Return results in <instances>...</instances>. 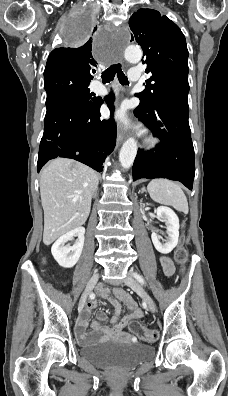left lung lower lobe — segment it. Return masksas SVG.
Wrapping results in <instances>:
<instances>
[{
	"label": "left lung lower lobe",
	"instance_id": "1",
	"mask_svg": "<svg viewBox=\"0 0 228 396\" xmlns=\"http://www.w3.org/2000/svg\"><path fill=\"white\" fill-rule=\"evenodd\" d=\"M134 114L161 140L151 151L138 150L132 170L134 181L167 178L180 181L192 190L195 163L188 122V94L165 95L150 108L139 105Z\"/></svg>",
	"mask_w": 228,
	"mask_h": 396
}]
</instances>
